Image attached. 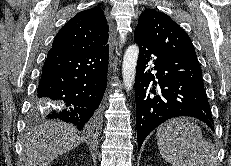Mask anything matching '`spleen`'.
Returning <instances> with one entry per match:
<instances>
[{
	"label": "spleen",
	"instance_id": "spleen-1",
	"mask_svg": "<svg viewBox=\"0 0 231 166\" xmlns=\"http://www.w3.org/2000/svg\"><path fill=\"white\" fill-rule=\"evenodd\" d=\"M162 157L172 166H219L214 145L203 138L200 127L179 117L160 125L156 133Z\"/></svg>",
	"mask_w": 231,
	"mask_h": 166
}]
</instances>
